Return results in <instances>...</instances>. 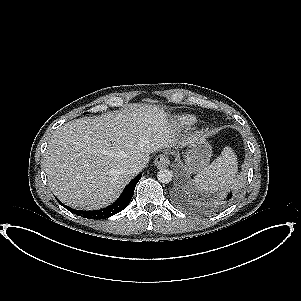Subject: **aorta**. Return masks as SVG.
<instances>
[{
    "label": "aorta",
    "instance_id": "aorta-1",
    "mask_svg": "<svg viewBox=\"0 0 301 301\" xmlns=\"http://www.w3.org/2000/svg\"><path fill=\"white\" fill-rule=\"evenodd\" d=\"M172 176V172L169 169H160L157 173L158 181L164 184L171 182Z\"/></svg>",
    "mask_w": 301,
    "mask_h": 301
}]
</instances>
